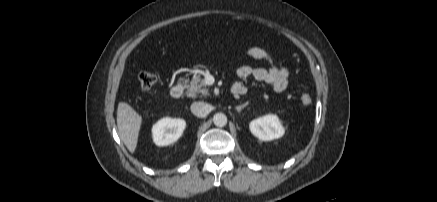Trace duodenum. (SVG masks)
Returning a JSON list of instances; mask_svg holds the SVG:
<instances>
[{"mask_svg": "<svg viewBox=\"0 0 437 202\" xmlns=\"http://www.w3.org/2000/svg\"><path fill=\"white\" fill-rule=\"evenodd\" d=\"M183 93H184V86L180 83L173 85L170 90L171 96L175 99L181 98ZM231 93L234 95H238L237 91L234 90L233 88L231 89Z\"/></svg>", "mask_w": 437, "mask_h": 202, "instance_id": "410a0bca", "label": "duodenum"}]
</instances>
